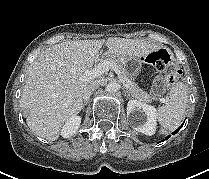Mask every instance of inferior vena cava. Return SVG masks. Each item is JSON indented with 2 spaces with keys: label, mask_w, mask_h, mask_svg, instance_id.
Segmentation results:
<instances>
[{
  "label": "inferior vena cava",
  "mask_w": 209,
  "mask_h": 179,
  "mask_svg": "<svg viewBox=\"0 0 209 179\" xmlns=\"http://www.w3.org/2000/svg\"><path fill=\"white\" fill-rule=\"evenodd\" d=\"M99 86V81H94L89 85L87 90L84 91L82 98L84 101H87L91 96L92 92Z\"/></svg>",
  "instance_id": "602c4592"
}]
</instances>
